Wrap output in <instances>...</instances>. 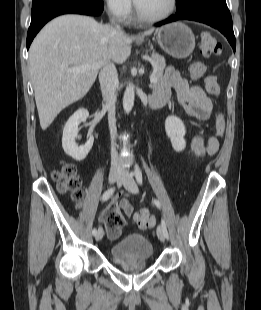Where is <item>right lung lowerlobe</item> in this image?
Returning a JSON list of instances; mask_svg holds the SVG:
<instances>
[{
  "label": "right lung lower lobe",
  "instance_id": "obj_1",
  "mask_svg": "<svg viewBox=\"0 0 261 310\" xmlns=\"http://www.w3.org/2000/svg\"><path fill=\"white\" fill-rule=\"evenodd\" d=\"M102 0H40L32 4L27 49L39 30L52 18L68 13L96 16L103 11Z\"/></svg>",
  "mask_w": 261,
  "mask_h": 310
}]
</instances>
